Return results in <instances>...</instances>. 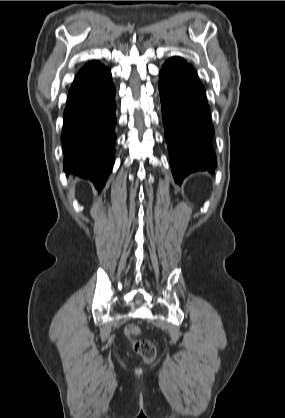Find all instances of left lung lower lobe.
<instances>
[{
  "label": "left lung lower lobe",
  "instance_id": "obj_1",
  "mask_svg": "<svg viewBox=\"0 0 285 418\" xmlns=\"http://www.w3.org/2000/svg\"><path fill=\"white\" fill-rule=\"evenodd\" d=\"M159 92L175 182L195 171L213 172L214 128L205 88L193 66L180 57L168 59L160 71Z\"/></svg>",
  "mask_w": 285,
  "mask_h": 418
}]
</instances>
